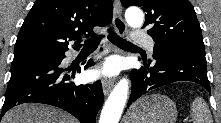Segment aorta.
Wrapping results in <instances>:
<instances>
[{
    "mask_svg": "<svg viewBox=\"0 0 221 123\" xmlns=\"http://www.w3.org/2000/svg\"><path fill=\"white\" fill-rule=\"evenodd\" d=\"M126 22L133 28L141 27L144 22L143 12L137 7H130L125 12ZM129 81L120 80L110 93L102 109L99 123H118L127 101Z\"/></svg>",
    "mask_w": 221,
    "mask_h": 123,
    "instance_id": "1",
    "label": "aorta"
}]
</instances>
